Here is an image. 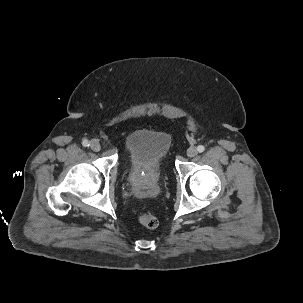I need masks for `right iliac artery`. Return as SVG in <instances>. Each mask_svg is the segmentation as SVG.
Returning a JSON list of instances; mask_svg holds the SVG:
<instances>
[{
    "label": "right iliac artery",
    "mask_w": 303,
    "mask_h": 303,
    "mask_svg": "<svg viewBox=\"0 0 303 303\" xmlns=\"http://www.w3.org/2000/svg\"><path fill=\"white\" fill-rule=\"evenodd\" d=\"M82 145L85 147H88L90 145V142L88 140H83Z\"/></svg>",
    "instance_id": "82829eb1"
}]
</instances>
